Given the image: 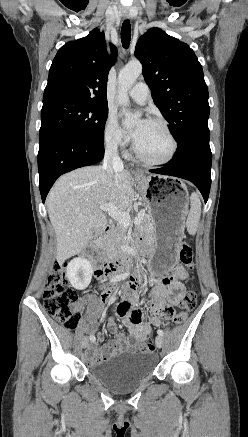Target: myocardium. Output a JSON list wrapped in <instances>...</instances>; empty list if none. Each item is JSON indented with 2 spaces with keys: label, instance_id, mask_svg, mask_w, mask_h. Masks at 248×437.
Returning a JSON list of instances; mask_svg holds the SVG:
<instances>
[{
  "label": "myocardium",
  "instance_id": "1",
  "mask_svg": "<svg viewBox=\"0 0 248 437\" xmlns=\"http://www.w3.org/2000/svg\"><path fill=\"white\" fill-rule=\"evenodd\" d=\"M149 122L154 123V124H158V125H160L163 128V130L165 131V133L167 134V136H168V138H169V140L171 142L170 152L162 160H150V159L146 158L145 156H143L140 153V151L136 147L135 142L133 143V146H132L133 152H134L135 156L137 157V159L139 161H141L143 164L147 165V166H162V165H166V164L170 163L174 159V157H175V155L177 153V149H178L177 140H176L173 132L171 131L168 123L165 120H163L161 118H151V119H149Z\"/></svg>",
  "mask_w": 248,
  "mask_h": 437
}]
</instances>
